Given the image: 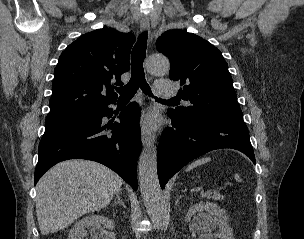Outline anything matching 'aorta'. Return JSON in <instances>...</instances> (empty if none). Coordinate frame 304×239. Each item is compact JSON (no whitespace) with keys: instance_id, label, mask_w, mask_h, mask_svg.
Here are the masks:
<instances>
[{"instance_id":"1","label":"aorta","mask_w":304,"mask_h":239,"mask_svg":"<svg viewBox=\"0 0 304 239\" xmlns=\"http://www.w3.org/2000/svg\"><path fill=\"white\" fill-rule=\"evenodd\" d=\"M170 70L169 60L162 55L147 59V71L152 75H165ZM138 175L142 197L151 221L157 228L164 227L167 212L157 175V149L154 143L147 144L139 158Z\"/></svg>"}]
</instances>
